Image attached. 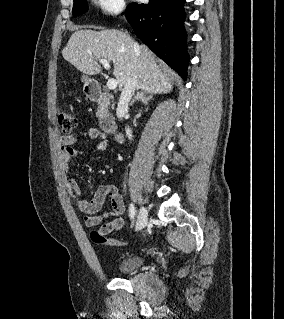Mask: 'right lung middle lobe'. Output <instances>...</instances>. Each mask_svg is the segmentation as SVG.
Here are the masks:
<instances>
[{
	"label": "right lung middle lobe",
	"instance_id": "obj_1",
	"mask_svg": "<svg viewBox=\"0 0 284 319\" xmlns=\"http://www.w3.org/2000/svg\"><path fill=\"white\" fill-rule=\"evenodd\" d=\"M88 10V7L86 5V0H74V5H73V15H79Z\"/></svg>",
	"mask_w": 284,
	"mask_h": 319
}]
</instances>
